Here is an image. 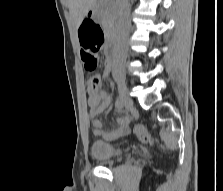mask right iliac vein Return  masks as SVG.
I'll return each mask as SVG.
<instances>
[{
    "label": "right iliac vein",
    "instance_id": "obj_1",
    "mask_svg": "<svg viewBox=\"0 0 223 191\" xmlns=\"http://www.w3.org/2000/svg\"><path fill=\"white\" fill-rule=\"evenodd\" d=\"M118 85V91H119V97L122 100V102L124 103V105L128 108L131 109L133 107V100L132 98L129 96L128 93V89L125 83V80H119L117 82Z\"/></svg>",
    "mask_w": 223,
    "mask_h": 191
}]
</instances>
